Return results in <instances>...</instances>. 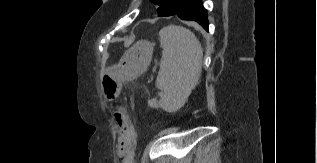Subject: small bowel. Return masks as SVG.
<instances>
[{
	"mask_svg": "<svg viewBox=\"0 0 317 163\" xmlns=\"http://www.w3.org/2000/svg\"><path fill=\"white\" fill-rule=\"evenodd\" d=\"M115 121L120 132L119 142L125 149V153L123 154L124 161L125 163H132V156L137 141L136 131L132 126L128 114L123 110L115 113Z\"/></svg>",
	"mask_w": 317,
	"mask_h": 163,
	"instance_id": "1",
	"label": "small bowel"
}]
</instances>
